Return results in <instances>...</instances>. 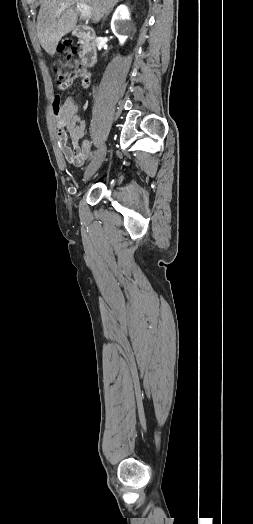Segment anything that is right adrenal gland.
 <instances>
[{
  "instance_id": "1",
  "label": "right adrenal gland",
  "mask_w": 253,
  "mask_h": 524,
  "mask_svg": "<svg viewBox=\"0 0 253 524\" xmlns=\"http://www.w3.org/2000/svg\"><path fill=\"white\" fill-rule=\"evenodd\" d=\"M111 10H112V9H110V10L106 13L104 19L108 16V14L110 13Z\"/></svg>"
}]
</instances>
